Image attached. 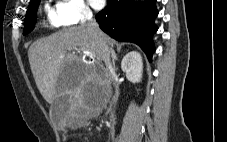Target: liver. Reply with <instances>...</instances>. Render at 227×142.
Returning <instances> with one entry per match:
<instances>
[{
  "label": "liver",
  "mask_w": 227,
  "mask_h": 142,
  "mask_svg": "<svg viewBox=\"0 0 227 142\" xmlns=\"http://www.w3.org/2000/svg\"><path fill=\"white\" fill-rule=\"evenodd\" d=\"M109 47H113L114 40L102 33ZM80 50L84 57H90L84 63L82 58L69 54L72 50ZM30 68L43 98L47 103L53 101L61 93H71L74 97L72 104L76 110L82 104L83 96L88 89H94L103 84V80L93 70L95 64L102 59L98 44L88 30L82 26L70 27L35 41L28 50ZM79 62L77 74H64L66 64ZM79 94L75 95L79 90Z\"/></svg>",
  "instance_id": "1"
}]
</instances>
